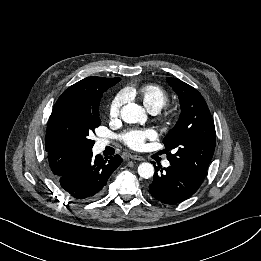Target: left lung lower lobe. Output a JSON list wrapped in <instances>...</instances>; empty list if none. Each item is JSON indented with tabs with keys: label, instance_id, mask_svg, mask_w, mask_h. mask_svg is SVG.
Listing matches in <instances>:
<instances>
[{
	"label": "left lung lower lobe",
	"instance_id": "0a47b994",
	"mask_svg": "<svg viewBox=\"0 0 261 261\" xmlns=\"http://www.w3.org/2000/svg\"><path fill=\"white\" fill-rule=\"evenodd\" d=\"M149 192L156 200L174 205L191 197L202 184L190 177L182 168L170 164L161 171L155 167V174Z\"/></svg>",
	"mask_w": 261,
	"mask_h": 261
}]
</instances>
